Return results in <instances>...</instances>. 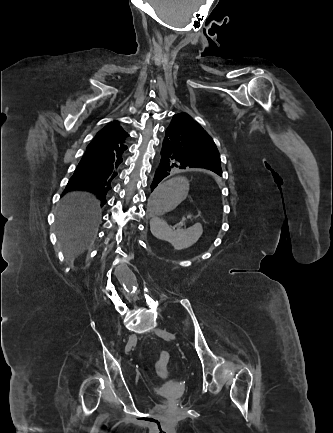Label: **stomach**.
Masks as SVG:
<instances>
[{
  "instance_id": "1",
  "label": "stomach",
  "mask_w": 333,
  "mask_h": 433,
  "mask_svg": "<svg viewBox=\"0 0 333 433\" xmlns=\"http://www.w3.org/2000/svg\"><path fill=\"white\" fill-rule=\"evenodd\" d=\"M189 184L184 177L166 176L165 183H156L150 201L146 203L147 215L158 220L160 215H171L183 199H189ZM176 200V201H175Z\"/></svg>"
}]
</instances>
